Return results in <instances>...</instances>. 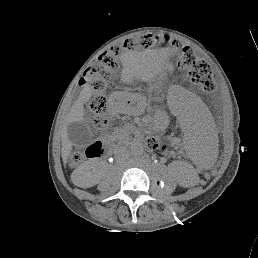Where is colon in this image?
<instances>
[{
  "mask_svg": "<svg viewBox=\"0 0 258 258\" xmlns=\"http://www.w3.org/2000/svg\"><path fill=\"white\" fill-rule=\"evenodd\" d=\"M160 43L168 44L175 49L182 50L181 63L183 67L188 70L192 81L200 84L206 92L213 90L212 70L205 60L196 59L189 48L181 47L176 40H172L166 35L147 33L135 39L126 40L121 45L113 46L108 51L101 54L84 73V85L94 92L87 109L90 120L96 127L101 128L106 125L104 115L106 100L103 96V92L118 67V57L121 53L124 50L151 48ZM147 142L148 146L152 149H165V145L155 135L150 136ZM82 158L83 155L81 152H74L70 159V165L72 167L78 165L82 161Z\"/></svg>",
  "mask_w": 258,
  "mask_h": 258,
  "instance_id": "5ec220e1",
  "label": "colon"
}]
</instances>
